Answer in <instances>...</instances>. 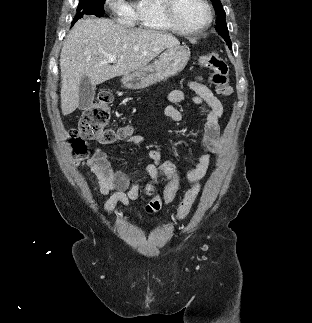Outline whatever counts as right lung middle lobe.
Returning a JSON list of instances; mask_svg holds the SVG:
<instances>
[{"label": "right lung middle lobe", "instance_id": "1", "mask_svg": "<svg viewBox=\"0 0 312 323\" xmlns=\"http://www.w3.org/2000/svg\"><path fill=\"white\" fill-rule=\"evenodd\" d=\"M103 1L105 0H79L77 14L72 22V26L84 15L102 17L104 15Z\"/></svg>", "mask_w": 312, "mask_h": 323}]
</instances>
